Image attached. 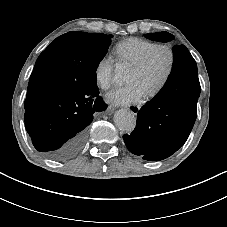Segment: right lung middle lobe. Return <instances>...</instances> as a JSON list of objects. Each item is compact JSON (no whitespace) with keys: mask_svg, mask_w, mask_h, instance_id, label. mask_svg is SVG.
<instances>
[{"mask_svg":"<svg viewBox=\"0 0 227 227\" xmlns=\"http://www.w3.org/2000/svg\"><path fill=\"white\" fill-rule=\"evenodd\" d=\"M112 35L68 32L57 37L35 66L61 78V88L81 93L97 87L96 70L107 53Z\"/></svg>","mask_w":227,"mask_h":227,"instance_id":"dd1d6c3e","label":"right lung middle lobe"}]
</instances>
